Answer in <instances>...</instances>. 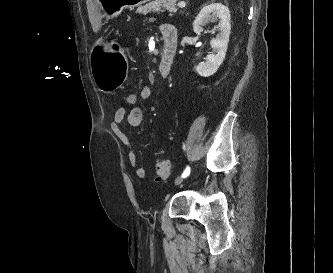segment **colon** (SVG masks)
I'll use <instances>...</instances> for the list:
<instances>
[{
	"label": "colon",
	"instance_id": "obj_1",
	"mask_svg": "<svg viewBox=\"0 0 333 273\" xmlns=\"http://www.w3.org/2000/svg\"><path fill=\"white\" fill-rule=\"evenodd\" d=\"M138 96L134 92L127 93L124 98L123 102L128 107H134L137 103ZM170 174V164L168 161H160L156 165V175L158 180L168 178Z\"/></svg>",
	"mask_w": 333,
	"mask_h": 273
}]
</instances>
